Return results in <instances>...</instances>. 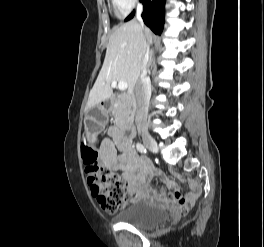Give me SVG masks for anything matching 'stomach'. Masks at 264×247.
<instances>
[{"label":"stomach","mask_w":264,"mask_h":247,"mask_svg":"<svg viewBox=\"0 0 264 247\" xmlns=\"http://www.w3.org/2000/svg\"><path fill=\"white\" fill-rule=\"evenodd\" d=\"M108 119V110L101 104H97L85 115L84 124L87 135L94 140L96 136V127H103Z\"/></svg>","instance_id":"1"}]
</instances>
